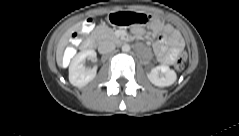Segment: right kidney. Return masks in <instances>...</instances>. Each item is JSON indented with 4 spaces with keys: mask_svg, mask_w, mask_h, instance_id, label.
I'll return each instance as SVG.
<instances>
[{
    "mask_svg": "<svg viewBox=\"0 0 239 136\" xmlns=\"http://www.w3.org/2000/svg\"><path fill=\"white\" fill-rule=\"evenodd\" d=\"M86 58L96 61V52L94 50L79 52L70 63L69 81L73 86L83 87L92 81L96 76V67L86 69L83 65Z\"/></svg>",
    "mask_w": 239,
    "mask_h": 136,
    "instance_id": "1",
    "label": "right kidney"
}]
</instances>
